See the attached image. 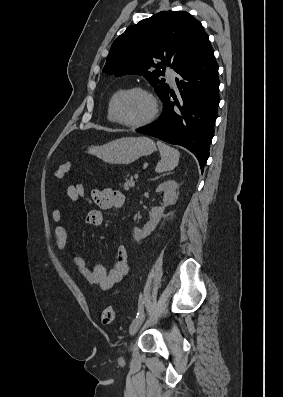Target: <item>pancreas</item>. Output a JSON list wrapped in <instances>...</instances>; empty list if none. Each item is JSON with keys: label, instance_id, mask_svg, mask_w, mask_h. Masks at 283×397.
I'll list each match as a JSON object with an SVG mask.
<instances>
[{"label": "pancreas", "instance_id": "obj_1", "mask_svg": "<svg viewBox=\"0 0 283 397\" xmlns=\"http://www.w3.org/2000/svg\"><path fill=\"white\" fill-rule=\"evenodd\" d=\"M134 186H135V180H133L132 177L126 179L123 184V188L127 191L130 190L131 188H133Z\"/></svg>", "mask_w": 283, "mask_h": 397}]
</instances>
